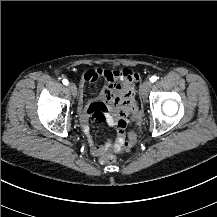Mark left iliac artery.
<instances>
[{"label": "left iliac artery", "instance_id": "obj_1", "mask_svg": "<svg viewBox=\"0 0 217 217\" xmlns=\"http://www.w3.org/2000/svg\"><path fill=\"white\" fill-rule=\"evenodd\" d=\"M157 80V76H152L151 78H150V81L153 83V82H155Z\"/></svg>", "mask_w": 217, "mask_h": 217}]
</instances>
